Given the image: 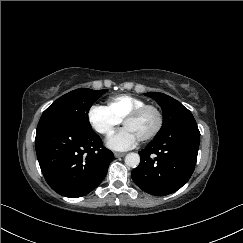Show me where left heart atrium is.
<instances>
[{
  "mask_svg": "<svg viewBox=\"0 0 243 243\" xmlns=\"http://www.w3.org/2000/svg\"><path fill=\"white\" fill-rule=\"evenodd\" d=\"M137 142V137L126 127L113 132L106 140L107 146L115 151L132 149L136 146Z\"/></svg>",
  "mask_w": 243,
  "mask_h": 243,
  "instance_id": "39dd6f15",
  "label": "left heart atrium"
}]
</instances>
